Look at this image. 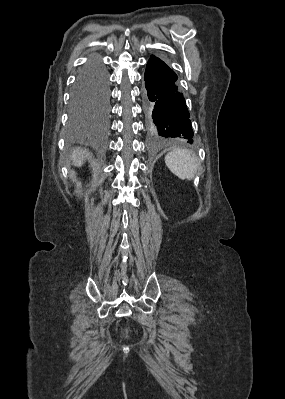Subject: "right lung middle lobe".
Instances as JSON below:
<instances>
[{
  "instance_id": "obj_1",
  "label": "right lung middle lobe",
  "mask_w": 285,
  "mask_h": 399,
  "mask_svg": "<svg viewBox=\"0 0 285 399\" xmlns=\"http://www.w3.org/2000/svg\"><path fill=\"white\" fill-rule=\"evenodd\" d=\"M108 107L106 71L97 59H93L79 72L72 89L71 122L73 125H79L93 116L104 117Z\"/></svg>"
}]
</instances>
